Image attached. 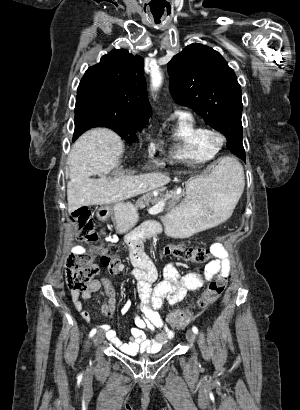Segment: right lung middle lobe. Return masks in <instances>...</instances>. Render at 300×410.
Returning a JSON list of instances; mask_svg holds the SVG:
<instances>
[{
	"label": "right lung middle lobe",
	"instance_id": "obj_1",
	"mask_svg": "<svg viewBox=\"0 0 300 410\" xmlns=\"http://www.w3.org/2000/svg\"><path fill=\"white\" fill-rule=\"evenodd\" d=\"M148 121L137 123L110 113L101 94L89 89H78L75 106L74 139L91 127L103 126L116 131L129 142L136 140L135 132L142 130Z\"/></svg>",
	"mask_w": 300,
	"mask_h": 410
}]
</instances>
